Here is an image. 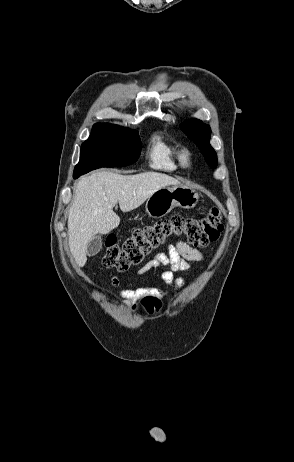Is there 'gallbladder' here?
I'll list each match as a JSON object with an SVG mask.
<instances>
[{
	"mask_svg": "<svg viewBox=\"0 0 294 462\" xmlns=\"http://www.w3.org/2000/svg\"><path fill=\"white\" fill-rule=\"evenodd\" d=\"M102 248V238L100 234L95 235L87 244V255L89 257L95 256Z\"/></svg>",
	"mask_w": 294,
	"mask_h": 462,
	"instance_id": "bac80fb5",
	"label": "gallbladder"
}]
</instances>
